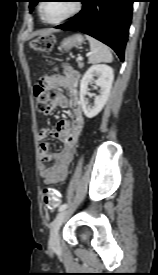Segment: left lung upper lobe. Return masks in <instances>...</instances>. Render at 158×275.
Returning <instances> with one entry per match:
<instances>
[{
  "label": "left lung upper lobe",
  "instance_id": "1",
  "mask_svg": "<svg viewBox=\"0 0 158 275\" xmlns=\"http://www.w3.org/2000/svg\"><path fill=\"white\" fill-rule=\"evenodd\" d=\"M39 2V0H29V8H33L37 3Z\"/></svg>",
  "mask_w": 158,
  "mask_h": 275
}]
</instances>
